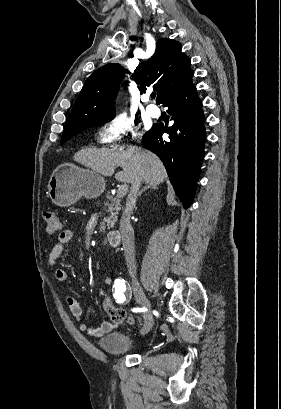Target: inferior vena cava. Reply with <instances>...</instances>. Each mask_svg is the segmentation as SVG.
I'll list each match as a JSON object with an SVG mask.
<instances>
[{
    "label": "inferior vena cava",
    "instance_id": "602c4592",
    "mask_svg": "<svg viewBox=\"0 0 281 409\" xmlns=\"http://www.w3.org/2000/svg\"><path fill=\"white\" fill-rule=\"evenodd\" d=\"M139 168V164H136ZM143 174L136 172L133 182H131L130 198H137L139 186L142 182ZM130 211L123 213L120 221V233L122 237V245L124 249L125 261L129 273V277L135 281L136 279V257H135V243H134V231L130 225Z\"/></svg>",
    "mask_w": 281,
    "mask_h": 409
}]
</instances>
